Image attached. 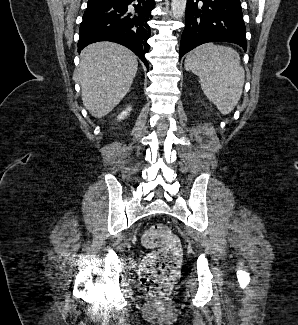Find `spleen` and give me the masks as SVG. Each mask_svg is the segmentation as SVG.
<instances>
[{
    "instance_id": "spleen-1",
    "label": "spleen",
    "mask_w": 298,
    "mask_h": 325,
    "mask_svg": "<svg viewBox=\"0 0 298 325\" xmlns=\"http://www.w3.org/2000/svg\"><path fill=\"white\" fill-rule=\"evenodd\" d=\"M185 68L199 76L204 94L222 114L233 110L240 100L245 78L240 56L234 48L213 42L201 44L188 52Z\"/></svg>"
}]
</instances>
